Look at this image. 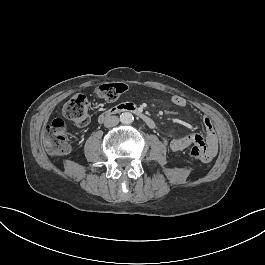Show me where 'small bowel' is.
<instances>
[{
  "label": "small bowel",
  "instance_id": "small-bowel-1",
  "mask_svg": "<svg viewBox=\"0 0 265 265\" xmlns=\"http://www.w3.org/2000/svg\"><path fill=\"white\" fill-rule=\"evenodd\" d=\"M171 101L175 106L180 107V108H185L188 106L187 100L184 97L179 96V95H174L171 98ZM202 124H203L205 134H206V141L199 134L198 135L188 134V135H184V136H180V137L172 139L169 143L170 149L175 152L181 151V150L188 148L196 141H199L201 146H203L202 150L204 152L203 153L204 157L207 158L210 155V158L206 163L211 162L217 152V142H216V136H215V132L213 128V123L209 117L203 116ZM208 150L210 151V153Z\"/></svg>",
  "mask_w": 265,
  "mask_h": 265
}]
</instances>
